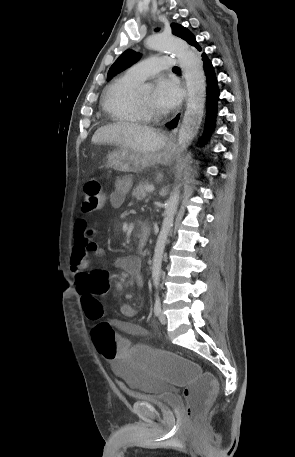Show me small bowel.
I'll list each match as a JSON object with an SVG mask.
<instances>
[{
  "mask_svg": "<svg viewBox=\"0 0 295 457\" xmlns=\"http://www.w3.org/2000/svg\"><path fill=\"white\" fill-rule=\"evenodd\" d=\"M130 186L131 182L128 179H119L116 182V186L109 198L113 208H119L123 205ZM92 232V225L86 218L77 219L75 222V242L70 259V270L80 293L82 286L87 280L88 273H86V270L89 266V253H94L95 255L104 254V250L92 240ZM113 264L123 268L132 275L137 286H143L144 280L141 274V262L139 258L134 256L118 257L113 260ZM90 273H93V271ZM120 312L125 318H133L136 315L133 306L127 303L120 306ZM114 326L118 330H123L124 333L130 335H142L146 332L144 328L125 320H114ZM125 341L130 340L126 338Z\"/></svg>",
  "mask_w": 295,
  "mask_h": 457,
  "instance_id": "c3829d8e",
  "label": "small bowel"
}]
</instances>
